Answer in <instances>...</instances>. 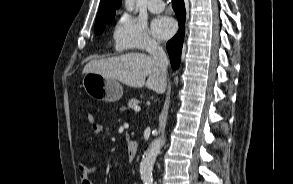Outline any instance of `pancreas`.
Wrapping results in <instances>:
<instances>
[{"label":"pancreas","mask_w":293,"mask_h":184,"mask_svg":"<svg viewBox=\"0 0 293 184\" xmlns=\"http://www.w3.org/2000/svg\"><path fill=\"white\" fill-rule=\"evenodd\" d=\"M139 101L137 99H130L127 103L128 108H134L138 105Z\"/></svg>","instance_id":"cf45deb5"}]
</instances>
